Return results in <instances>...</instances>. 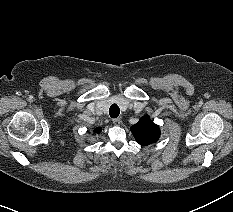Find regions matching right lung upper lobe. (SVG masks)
I'll use <instances>...</instances> for the list:
<instances>
[{"instance_id":"obj_1","label":"right lung upper lobe","mask_w":233,"mask_h":212,"mask_svg":"<svg viewBox=\"0 0 233 212\" xmlns=\"http://www.w3.org/2000/svg\"><path fill=\"white\" fill-rule=\"evenodd\" d=\"M100 131H101V128L95 129V132H96V133H100Z\"/></svg>"}]
</instances>
